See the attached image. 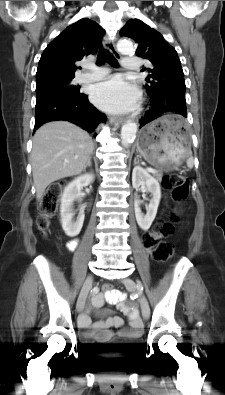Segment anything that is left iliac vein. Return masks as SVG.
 <instances>
[{
	"label": "left iliac vein",
	"mask_w": 225,
	"mask_h": 395,
	"mask_svg": "<svg viewBox=\"0 0 225 395\" xmlns=\"http://www.w3.org/2000/svg\"><path fill=\"white\" fill-rule=\"evenodd\" d=\"M122 283L125 285V287L129 291L138 295V301L141 306L142 316L144 319H148L149 315H150V307H149V303H148L146 297L144 296V294L142 293L141 289L138 287V285L135 283V281L132 280L131 278L124 279L122 281Z\"/></svg>",
	"instance_id": "left-iliac-vein-1"
}]
</instances>
